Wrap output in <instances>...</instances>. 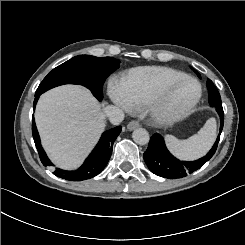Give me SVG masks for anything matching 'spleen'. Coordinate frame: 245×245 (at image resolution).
Segmentation results:
<instances>
[{
    "label": "spleen",
    "mask_w": 245,
    "mask_h": 245,
    "mask_svg": "<svg viewBox=\"0 0 245 245\" xmlns=\"http://www.w3.org/2000/svg\"><path fill=\"white\" fill-rule=\"evenodd\" d=\"M217 119L209 118L198 135L186 141H178L171 136L163 140L168 151L179 161L192 162L203 158L212 149L217 140Z\"/></svg>",
    "instance_id": "1"
}]
</instances>
